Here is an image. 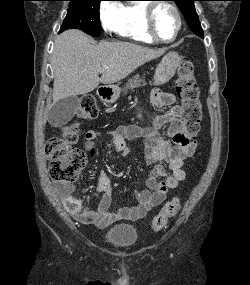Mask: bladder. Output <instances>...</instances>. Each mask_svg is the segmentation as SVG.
<instances>
[{
	"label": "bladder",
	"instance_id": "31cf9c89",
	"mask_svg": "<svg viewBox=\"0 0 250 285\" xmlns=\"http://www.w3.org/2000/svg\"><path fill=\"white\" fill-rule=\"evenodd\" d=\"M138 234L136 228L127 223L111 226L104 234L105 240L117 247L127 248L135 244Z\"/></svg>",
	"mask_w": 250,
	"mask_h": 285
}]
</instances>
